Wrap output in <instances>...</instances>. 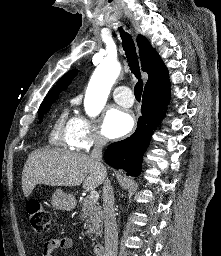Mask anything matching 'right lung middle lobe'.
<instances>
[{
    "mask_svg": "<svg viewBox=\"0 0 221 256\" xmlns=\"http://www.w3.org/2000/svg\"><path fill=\"white\" fill-rule=\"evenodd\" d=\"M57 99V96H51L44 100V102L41 104L38 112H39V121L42 122L43 115L50 109L51 104L55 102Z\"/></svg>",
    "mask_w": 221,
    "mask_h": 256,
    "instance_id": "1",
    "label": "right lung middle lobe"
}]
</instances>
